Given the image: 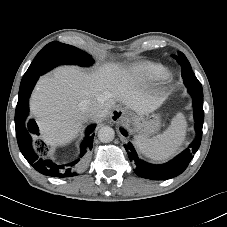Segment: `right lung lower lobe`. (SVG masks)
<instances>
[{"instance_id": "98d812e1", "label": "right lung lower lobe", "mask_w": 227, "mask_h": 227, "mask_svg": "<svg viewBox=\"0 0 227 227\" xmlns=\"http://www.w3.org/2000/svg\"><path fill=\"white\" fill-rule=\"evenodd\" d=\"M38 77L20 85L19 98L15 111V129L19 149L25 159L40 173L52 177H72L77 175L75 170L82 164L85 153L93 146L95 125H90L85 133L84 141L81 144L79 158L66 165H56L51 160L39 158L32 147L31 134H39V129L34 120L27 122L29 114V98L38 80ZM40 151V149H39ZM82 158V159H81Z\"/></svg>"}]
</instances>
